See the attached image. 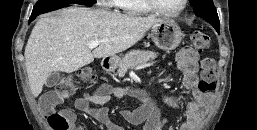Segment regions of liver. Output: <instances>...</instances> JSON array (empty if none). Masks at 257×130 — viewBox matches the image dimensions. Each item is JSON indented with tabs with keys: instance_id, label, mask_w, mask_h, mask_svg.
<instances>
[{
	"instance_id": "6515ba94",
	"label": "liver",
	"mask_w": 257,
	"mask_h": 130,
	"mask_svg": "<svg viewBox=\"0 0 257 130\" xmlns=\"http://www.w3.org/2000/svg\"><path fill=\"white\" fill-rule=\"evenodd\" d=\"M161 21L79 7L43 15L34 26L24 53L32 95L39 96L51 73H72L94 58L125 51ZM94 40L102 42L91 51L88 46Z\"/></svg>"
}]
</instances>
